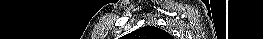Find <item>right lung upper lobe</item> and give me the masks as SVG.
<instances>
[{
  "label": "right lung upper lobe",
  "instance_id": "obj_1",
  "mask_svg": "<svg viewBox=\"0 0 263 39\" xmlns=\"http://www.w3.org/2000/svg\"><path fill=\"white\" fill-rule=\"evenodd\" d=\"M131 39H173L170 34L165 32L164 30L154 27V26H146L140 28L131 33Z\"/></svg>",
  "mask_w": 263,
  "mask_h": 39
}]
</instances>
